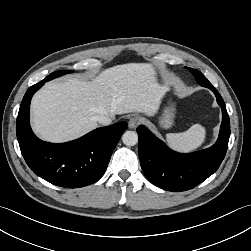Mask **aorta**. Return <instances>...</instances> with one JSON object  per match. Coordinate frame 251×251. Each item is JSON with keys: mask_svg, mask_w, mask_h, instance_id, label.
I'll return each instance as SVG.
<instances>
[{"mask_svg": "<svg viewBox=\"0 0 251 251\" xmlns=\"http://www.w3.org/2000/svg\"><path fill=\"white\" fill-rule=\"evenodd\" d=\"M122 141L126 146H134L138 142V134L134 131H126L122 135Z\"/></svg>", "mask_w": 251, "mask_h": 251, "instance_id": "1", "label": "aorta"}]
</instances>
